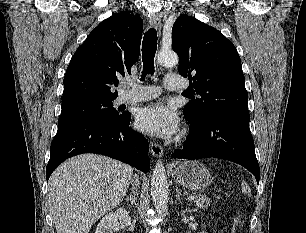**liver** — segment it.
I'll return each instance as SVG.
<instances>
[{"label":"liver","instance_id":"1","mask_svg":"<svg viewBox=\"0 0 306 233\" xmlns=\"http://www.w3.org/2000/svg\"><path fill=\"white\" fill-rule=\"evenodd\" d=\"M133 168L97 154L75 156L51 175L48 203L57 233H89L92 225L120 204Z\"/></svg>","mask_w":306,"mask_h":233}]
</instances>
